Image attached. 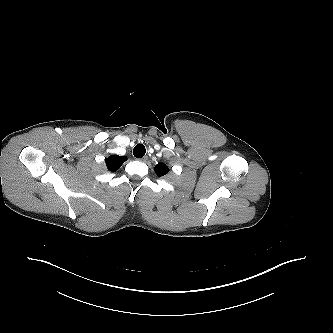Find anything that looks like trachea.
Returning <instances> with one entry per match:
<instances>
[{
    "instance_id": "trachea-1",
    "label": "trachea",
    "mask_w": 333,
    "mask_h": 333,
    "mask_svg": "<svg viewBox=\"0 0 333 333\" xmlns=\"http://www.w3.org/2000/svg\"><path fill=\"white\" fill-rule=\"evenodd\" d=\"M146 153V148L143 144H137L133 149V155L136 158H142Z\"/></svg>"
}]
</instances>
